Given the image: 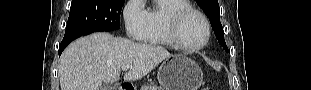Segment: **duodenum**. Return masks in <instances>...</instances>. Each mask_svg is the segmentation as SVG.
Returning a JSON list of instances; mask_svg holds the SVG:
<instances>
[{"mask_svg": "<svg viewBox=\"0 0 311 90\" xmlns=\"http://www.w3.org/2000/svg\"><path fill=\"white\" fill-rule=\"evenodd\" d=\"M119 90H133V89L131 88V86L123 84L119 87Z\"/></svg>", "mask_w": 311, "mask_h": 90, "instance_id": "obj_1", "label": "duodenum"}]
</instances>
